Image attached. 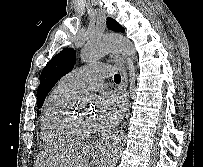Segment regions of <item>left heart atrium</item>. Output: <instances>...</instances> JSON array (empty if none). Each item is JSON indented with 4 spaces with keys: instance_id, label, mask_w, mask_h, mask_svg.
<instances>
[{
    "instance_id": "obj_1",
    "label": "left heart atrium",
    "mask_w": 203,
    "mask_h": 167,
    "mask_svg": "<svg viewBox=\"0 0 203 167\" xmlns=\"http://www.w3.org/2000/svg\"><path fill=\"white\" fill-rule=\"evenodd\" d=\"M122 108L120 96L112 91L101 94L98 100L97 114L94 116L96 129H103L109 126L118 116Z\"/></svg>"
}]
</instances>
